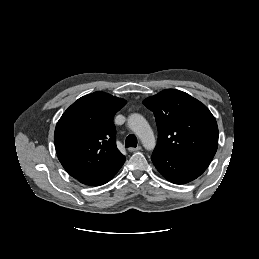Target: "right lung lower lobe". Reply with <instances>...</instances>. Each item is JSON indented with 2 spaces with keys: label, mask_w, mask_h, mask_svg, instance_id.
Segmentation results:
<instances>
[{
  "label": "right lung lower lobe",
  "mask_w": 259,
  "mask_h": 259,
  "mask_svg": "<svg viewBox=\"0 0 259 259\" xmlns=\"http://www.w3.org/2000/svg\"><path fill=\"white\" fill-rule=\"evenodd\" d=\"M124 162H125V160L122 161L121 163H119L118 165H116L115 167H113L108 172H106V173H104L100 176H97V177H94V178L83 179V180H79V181L81 183H83L85 185H89V186L103 185V184L107 183L108 181H110L115 176V174L122 167Z\"/></svg>",
  "instance_id": "obj_1"
}]
</instances>
